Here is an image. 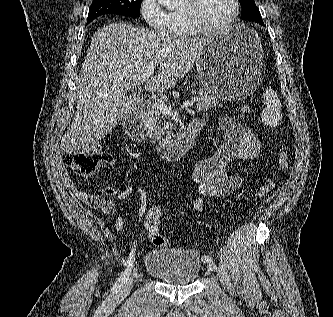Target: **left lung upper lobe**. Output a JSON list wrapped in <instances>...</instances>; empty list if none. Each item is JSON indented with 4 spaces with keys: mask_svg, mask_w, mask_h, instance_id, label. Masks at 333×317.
Masks as SVG:
<instances>
[{
    "mask_svg": "<svg viewBox=\"0 0 333 317\" xmlns=\"http://www.w3.org/2000/svg\"><path fill=\"white\" fill-rule=\"evenodd\" d=\"M242 5L243 13L241 18L262 24V17L259 9L257 8L254 0H239ZM264 24V23H263Z\"/></svg>",
    "mask_w": 333,
    "mask_h": 317,
    "instance_id": "left-lung-upper-lobe-1",
    "label": "left lung upper lobe"
}]
</instances>
